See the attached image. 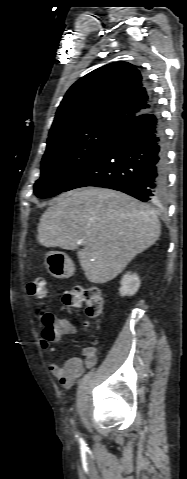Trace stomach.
<instances>
[{
  "label": "stomach",
  "instance_id": "stomach-1",
  "mask_svg": "<svg viewBox=\"0 0 187 479\" xmlns=\"http://www.w3.org/2000/svg\"><path fill=\"white\" fill-rule=\"evenodd\" d=\"M45 265L48 272L60 279L69 278L74 272V265L67 254L59 251H50L45 256Z\"/></svg>",
  "mask_w": 187,
  "mask_h": 479
}]
</instances>
